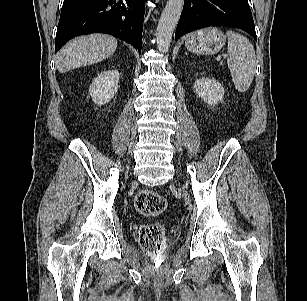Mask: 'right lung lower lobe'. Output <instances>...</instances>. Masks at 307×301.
<instances>
[{"instance_id":"right-lung-lower-lobe-1","label":"right lung lower lobe","mask_w":307,"mask_h":301,"mask_svg":"<svg viewBox=\"0 0 307 301\" xmlns=\"http://www.w3.org/2000/svg\"><path fill=\"white\" fill-rule=\"evenodd\" d=\"M145 0H64L55 52L75 36L107 33L142 48Z\"/></svg>"}]
</instances>
